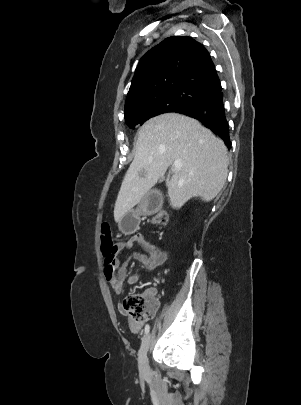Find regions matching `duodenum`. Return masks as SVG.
I'll return each mask as SVG.
<instances>
[{
  "label": "duodenum",
  "instance_id": "1",
  "mask_svg": "<svg viewBox=\"0 0 301 405\" xmlns=\"http://www.w3.org/2000/svg\"><path fill=\"white\" fill-rule=\"evenodd\" d=\"M162 199L159 191L148 190L145 197L140 200L141 217L150 219L152 213H160L164 204Z\"/></svg>",
  "mask_w": 301,
  "mask_h": 405
}]
</instances>
